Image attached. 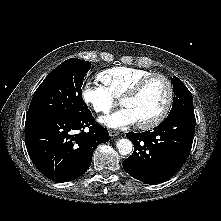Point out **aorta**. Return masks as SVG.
Segmentation results:
<instances>
[{"label":"aorta","instance_id":"obj_1","mask_svg":"<svg viewBox=\"0 0 221 221\" xmlns=\"http://www.w3.org/2000/svg\"><path fill=\"white\" fill-rule=\"evenodd\" d=\"M116 147L119 153L125 156L132 152L133 144L129 139L122 138L117 141Z\"/></svg>","mask_w":221,"mask_h":221}]
</instances>
